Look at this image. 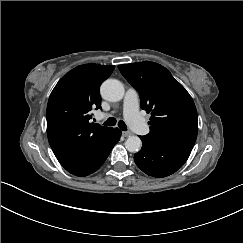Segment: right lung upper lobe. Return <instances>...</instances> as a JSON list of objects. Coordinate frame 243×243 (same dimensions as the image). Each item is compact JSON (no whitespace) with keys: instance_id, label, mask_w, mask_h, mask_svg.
<instances>
[{"instance_id":"1","label":"right lung upper lobe","mask_w":243,"mask_h":243,"mask_svg":"<svg viewBox=\"0 0 243 243\" xmlns=\"http://www.w3.org/2000/svg\"><path fill=\"white\" fill-rule=\"evenodd\" d=\"M114 66L85 64L64 75L47 105V135L60 164L66 168L86 157L113 129L90 123L91 110L101 108L99 88Z\"/></svg>"}]
</instances>
